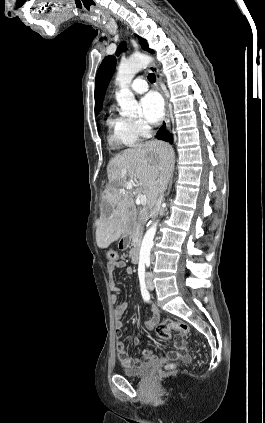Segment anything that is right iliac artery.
<instances>
[{
    "label": "right iliac artery",
    "mask_w": 265,
    "mask_h": 423,
    "mask_svg": "<svg viewBox=\"0 0 265 423\" xmlns=\"http://www.w3.org/2000/svg\"><path fill=\"white\" fill-rule=\"evenodd\" d=\"M138 276L140 280L141 294L143 299L148 302L150 300V294L145 284V268L144 265H140L138 268Z\"/></svg>",
    "instance_id": "right-iliac-artery-1"
}]
</instances>
